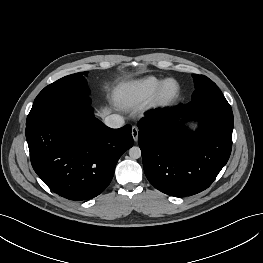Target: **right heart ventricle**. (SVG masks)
Masks as SVG:
<instances>
[{
    "label": "right heart ventricle",
    "instance_id": "1",
    "mask_svg": "<svg viewBox=\"0 0 263 263\" xmlns=\"http://www.w3.org/2000/svg\"><path fill=\"white\" fill-rule=\"evenodd\" d=\"M163 81V79L154 76H147L138 80L122 83L116 89L117 103L124 108L143 105L152 99Z\"/></svg>",
    "mask_w": 263,
    "mask_h": 263
}]
</instances>
